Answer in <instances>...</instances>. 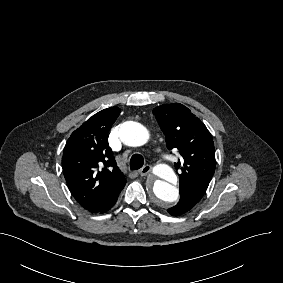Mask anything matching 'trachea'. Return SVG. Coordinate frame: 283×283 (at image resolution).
Returning a JSON list of instances; mask_svg holds the SVG:
<instances>
[{
  "label": "trachea",
  "instance_id": "3493384b",
  "mask_svg": "<svg viewBox=\"0 0 283 283\" xmlns=\"http://www.w3.org/2000/svg\"><path fill=\"white\" fill-rule=\"evenodd\" d=\"M130 169L131 170H138L143 167L144 165V158L140 154H134L132 155L130 159Z\"/></svg>",
  "mask_w": 283,
  "mask_h": 283
}]
</instances>
